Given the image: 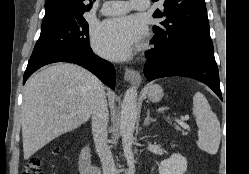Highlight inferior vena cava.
<instances>
[{
	"label": "inferior vena cava",
	"instance_id": "obj_1",
	"mask_svg": "<svg viewBox=\"0 0 249 174\" xmlns=\"http://www.w3.org/2000/svg\"><path fill=\"white\" fill-rule=\"evenodd\" d=\"M109 113L104 89L101 88L96 96L92 113V132L96 151L100 157L103 174H116L112 153L108 147Z\"/></svg>",
	"mask_w": 249,
	"mask_h": 174
}]
</instances>
